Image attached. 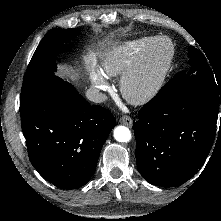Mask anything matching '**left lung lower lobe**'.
I'll return each instance as SVG.
<instances>
[{
    "mask_svg": "<svg viewBox=\"0 0 221 221\" xmlns=\"http://www.w3.org/2000/svg\"><path fill=\"white\" fill-rule=\"evenodd\" d=\"M221 84L192 75L170 80L134 123L140 174L156 186H178L204 164L217 131Z\"/></svg>",
    "mask_w": 221,
    "mask_h": 221,
    "instance_id": "obj_1",
    "label": "left lung lower lobe"
}]
</instances>
